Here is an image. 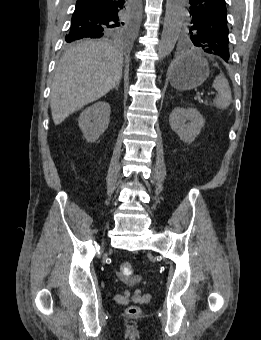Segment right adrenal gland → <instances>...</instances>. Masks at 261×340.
Instances as JSON below:
<instances>
[{"mask_svg":"<svg viewBox=\"0 0 261 340\" xmlns=\"http://www.w3.org/2000/svg\"><path fill=\"white\" fill-rule=\"evenodd\" d=\"M120 82L116 85L115 89L118 90Z\"/></svg>","mask_w":261,"mask_h":340,"instance_id":"1","label":"right adrenal gland"}]
</instances>
